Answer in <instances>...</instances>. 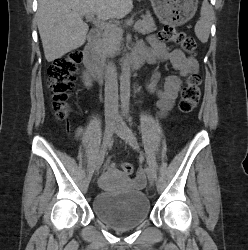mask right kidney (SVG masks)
<instances>
[{"instance_id": "right-kidney-1", "label": "right kidney", "mask_w": 248, "mask_h": 250, "mask_svg": "<svg viewBox=\"0 0 248 250\" xmlns=\"http://www.w3.org/2000/svg\"><path fill=\"white\" fill-rule=\"evenodd\" d=\"M92 78L91 75L88 72H84L83 73V83L86 87H91L92 86Z\"/></svg>"}]
</instances>
